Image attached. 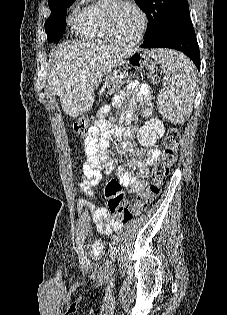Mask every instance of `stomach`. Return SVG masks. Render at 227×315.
Here are the masks:
<instances>
[{
	"instance_id": "1",
	"label": "stomach",
	"mask_w": 227,
	"mask_h": 315,
	"mask_svg": "<svg viewBox=\"0 0 227 315\" xmlns=\"http://www.w3.org/2000/svg\"><path fill=\"white\" fill-rule=\"evenodd\" d=\"M103 76H107V73H103ZM113 76V73H110ZM90 85L94 87L96 91H110L113 85L112 80H93Z\"/></svg>"
}]
</instances>
